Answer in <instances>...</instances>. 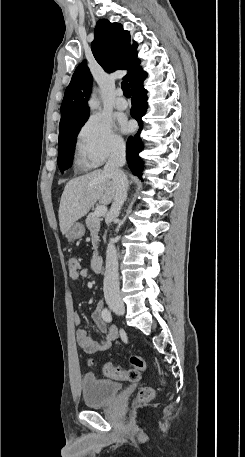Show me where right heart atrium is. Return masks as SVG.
Wrapping results in <instances>:
<instances>
[{"label": "right heart atrium", "mask_w": 245, "mask_h": 457, "mask_svg": "<svg viewBox=\"0 0 245 457\" xmlns=\"http://www.w3.org/2000/svg\"><path fill=\"white\" fill-rule=\"evenodd\" d=\"M77 145L92 162L98 164L119 153L124 141L109 119L91 115L78 132Z\"/></svg>", "instance_id": "obj_1"}]
</instances>
